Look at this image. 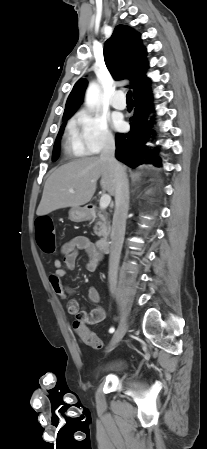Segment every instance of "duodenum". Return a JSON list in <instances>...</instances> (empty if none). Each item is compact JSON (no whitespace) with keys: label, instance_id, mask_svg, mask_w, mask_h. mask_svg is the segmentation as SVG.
Masks as SVG:
<instances>
[{"label":"duodenum","instance_id":"410a0bca","mask_svg":"<svg viewBox=\"0 0 207 449\" xmlns=\"http://www.w3.org/2000/svg\"><path fill=\"white\" fill-rule=\"evenodd\" d=\"M110 243H111L110 238L107 236V237L99 239L97 241V246L99 247V249L102 252L106 253V252L110 251Z\"/></svg>","mask_w":207,"mask_h":449}]
</instances>
